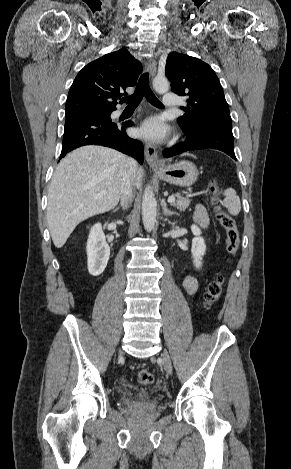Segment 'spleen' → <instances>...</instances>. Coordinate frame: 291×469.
I'll return each instance as SVG.
<instances>
[{
  "mask_svg": "<svg viewBox=\"0 0 291 469\" xmlns=\"http://www.w3.org/2000/svg\"><path fill=\"white\" fill-rule=\"evenodd\" d=\"M223 205L227 208L228 212L236 216L241 210L240 198L237 196L233 188H228L224 191Z\"/></svg>",
  "mask_w": 291,
  "mask_h": 469,
  "instance_id": "obj_1",
  "label": "spleen"
}]
</instances>
